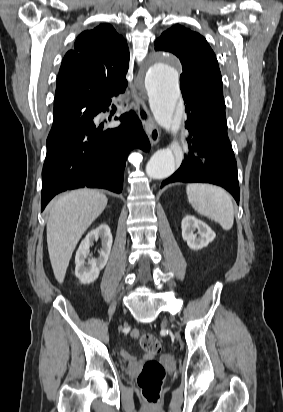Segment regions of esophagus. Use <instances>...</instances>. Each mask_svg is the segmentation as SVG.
Returning <instances> with one entry per match:
<instances>
[{"instance_id": "obj_1", "label": "esophagus", "mask_w": 283, "mask_h": 412, "mask_svg": "<svg viewBox=\"0 0 283 412\" xmlns=\"http://www.w3.org/2000/svg\"><path fill=\"white\" fill-rule=\"evenodd\" d=\"M138 93L133 92L132 96L136 102V107L138 111V116L144 126L145 132L148 136L151 146L158 143L160 134L158 128L154 125L151 113L145 104L144 90L137 85Z\"/></svg>"}]
</instances>
